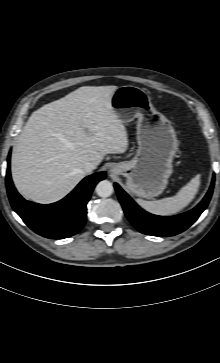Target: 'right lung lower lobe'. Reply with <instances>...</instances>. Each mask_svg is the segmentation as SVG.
Wrapping results in <instances>:
<instances>
[{"label":"right lung lower lobe","mask_w":220,"mask_h":363,"mask_svg":"<svg viewBox=\"0 0 220 363\" xmlns=\"http://www.w3.org/2000/svg\"><path fill=\"white\" fill-rule=\"evenodd\" d=\"M6 173L7 193L14 211L37 234L50 239H63L78 233L86 221V204L95 185L106 177L98 172L84 178L64 199L53 204H37L23 199L10 175V154Z\"/></svg>","instance_id":"1"}]
</instances>
